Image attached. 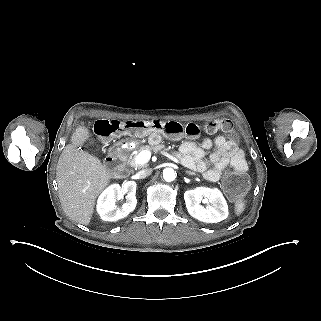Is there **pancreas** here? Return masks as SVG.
Returning a JSON list of instances; mask_svg holds the SVG:
<instances>
[{"label": "pancreas", "mask_w": 321, "mask_h": 321, "mask_svg": "<svg viewBox=\"0 0 321 321\" xmlns=\"http://www.w3.org/2000/svg\"><path fill=\"white\" fill-rule=\"evenodd\" d=\"M136 150L138 152H141L143 150H147V151H153L155 153L159 152V151H165L166 148L164 145L160 144V145H157V146H149V145H137L136 146ZM129 165L133 168H141L142 166L139 165V164H136L135 163V157L129 159L128 161Z\"/></svg>", "instance_id": "cf45deb5"}]
</instances>
